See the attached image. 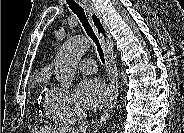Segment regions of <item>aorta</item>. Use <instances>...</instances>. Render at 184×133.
Wrapping results in <instances>:
<instances>
[{
    "label": "aorta",
    "mask_w": 184,
    "mask_h": 133,
    "mask_svg": "<svg viewBox=\"0 0 184 133\" xmlns=\"http://www.w3.org/2000/svg\"><path fill=\"white\" fill-rule=\"evenodd\" d=\"M90 46L88 38L74 36L60 47L56 57L55 74L61 87L68 89L72 85L78 64Z\"/></svg>",
    "instance_id": "762f6f07"
}]
</instances>
